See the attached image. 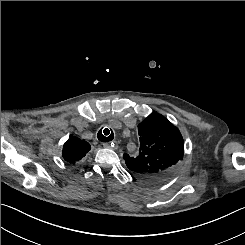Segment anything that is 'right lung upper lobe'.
I'll list each match as a JSON object with an SVG mask.
<instances>
[{
  "label": "right lung upper lobe",
  "instance_id": "obj_1",
  "mask_svg": "<svg viewBox=\"0 0 245 245\" xmlns=\"http://www.w3.org/2000/svg\"><path fill=\"white\" fill-rule=\"evenodd\" d=\"M91 146L85 140H81L78 137H70L63 146L62 155L63 158L71 164L78 163L89 150Z\"/></svg>",
  "mask_w": 245,
  "mask_h": 245
}]
</instances>
